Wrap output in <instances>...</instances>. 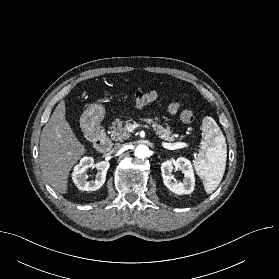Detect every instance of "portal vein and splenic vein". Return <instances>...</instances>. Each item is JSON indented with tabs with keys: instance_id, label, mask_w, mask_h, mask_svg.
<instances>
[{
	"instance_id": "18ae733b",
	"label": "portal vein and splenic vein",
	"mask_w": 279,
	"mask_h": 279,
	"mask_svg": "<svg viewBox=\"0 0 279 279\" xmlns=\"http://www.w3.org/2000/svg\"><path fill=\"white\" fill-rule=\"evenodd\" d=\"M140 126H141V124L135 123V124L130 125L128 130L133 131L135 128L140 127ZM143 126H145V125H143ZM162 147L165 149H169V150H175V149L189 147V145L185 142H177V143H173V144L163 142Z\"/></svg>"
}]
</instances>
